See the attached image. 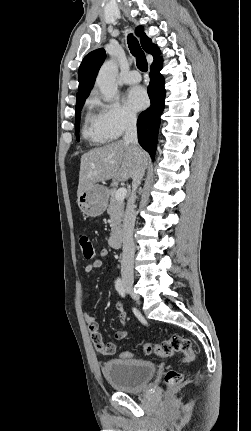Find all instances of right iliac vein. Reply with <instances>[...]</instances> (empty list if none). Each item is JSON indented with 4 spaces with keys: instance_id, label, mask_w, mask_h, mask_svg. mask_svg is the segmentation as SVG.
Wrapping results in <instances>:
<instances>
[{
    "instance_id": "obj_1",
    "label": "right iliac vein",
    "mask_w": 251,
    "mask_h": 431,
    "mask_svg": "<svg viewBox=\"0 0 251 431\" xmlns=\"http://www.w3.org/2000/svg\"><path fill=\"white\" fill-rule=\"evenodd\" d=\"M124 285H125L126 291L129 292L130 294H132L136 300H139V296L134 294V292H133V285L129 282H125Z\"/></svg>"
}]
</instances>
